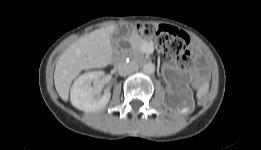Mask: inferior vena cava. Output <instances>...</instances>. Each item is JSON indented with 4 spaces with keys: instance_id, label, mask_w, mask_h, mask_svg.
I'll use <instances>...</instances> for the list:
<instances>
[{
    "instance_id": "602c4592",
    "label": "inferior vena cava",
    "mask_w": 261,
    "mask_h": 150,
    "mask_svg": "<svg viewBox=\"0 0 261 150\" xmlns=\"http://www.w3.org/2000/svg\"><path fill=\"white\" fill-rule=\"evenodd\" d=\"M138 69L137 64L135 63H126V62H121L117 66V71L119 75L121 76H127L133 72H135Z\"/></svg>"
}]
</instances>
